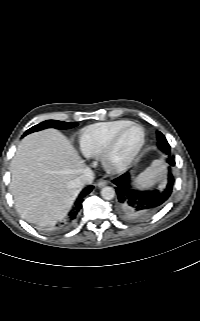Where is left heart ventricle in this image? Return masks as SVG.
<instances>
[{
	"instance_id": "1",
	"label": "left heart ventricle",
	"mask_w": 200,
	"mask_h": 321,
	"mask_svg": "<svg viewBox=\"0 0 200 321\" xmlns=\"http://www.w3.org/2000/svg\"><path fill=\"white\" fill-rule=\"evenodd\" d=\"M142 131L139 127H130L120 139L114 160L120 161L127 157L140 143Z\"/></svg>"
}]
</instances>
